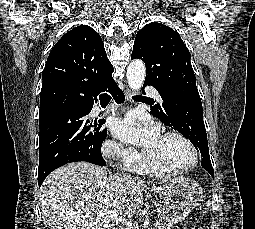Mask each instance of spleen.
<instances>
[{
	"instance_id": "1",
	"label": "spleen",
	"mask_w": 255,
	"mask_h": 229,
	"mask_svg": "<svg viewBox=\"0 0 255 229\" xmlns=\"http://www.w3.org/2000/svg\"><path fill=\"white\" fill-rule=\"evenodd\" d=\"M206 204H207V206H208V207H211L212 202H211V201H207V203H206Z\"/></svg>"
}]
</instances>
